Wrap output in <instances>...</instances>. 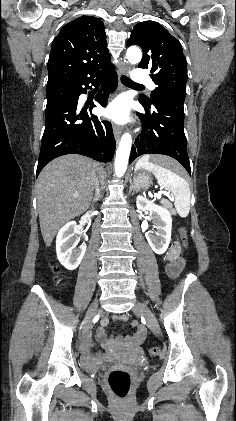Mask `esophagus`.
<instances>
[{"label":"esophagus","mask_w":236,"mask_h":421,"mask_svg":"<svg viewBox=\"0 0 236 421\" xmlns=\"http://www.w3.org/2000/svg\"><path fill=\"white\" fill-rule=\"evenodd\" d=\"M128 72H129V67L125 66V68L120 73L125 75V74H128ZM113 133H114L115 140L118 143V141L120 139V136H121V133H122V127L114 125Z\"/></svg>","instance_id":"obj_1"}]
</instances>
